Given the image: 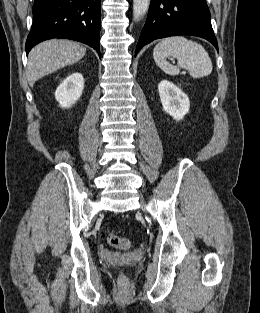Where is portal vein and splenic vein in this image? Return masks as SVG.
Listing matches in <instances>:
<instances>
[{"label":"portal vein and splenic vein","instance_id":"18ae733b","mask_svg":"<svg viewBox=\"0 0 260 313\" xmlns=\"http://www.w3.org/2000/svg\"><path fill=\"white\" fill-rule=\"evenodd\" d=\"M182 74H183V75H185V74H186V72H185V71H183V72H182Z\"/></svg>","mask_w":260,"mask_h":313}]
</instances>
